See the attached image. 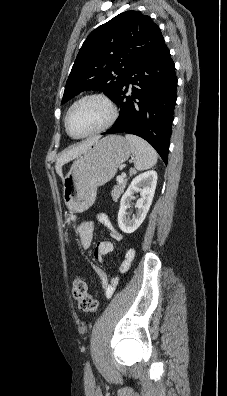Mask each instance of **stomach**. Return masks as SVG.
Listing matches in <instances>:
<instances>
[{"instance_id": "obj_1", "label": "stomach", "mask_w": 227, "mask_h": 396, "mask_svg": "<svg viewBox=\"0 0 227 396\" xmlns=\"http://www.w3.org/2000/svg\"><path fill=\"white\" fill-rule=\"evenodd\" d=\"M131 147L118 135L95 141L73 162L63 179V197L72 212H83L96 200L97 188L109 182L128 160Z\"/></svg>"}]
</instances>
